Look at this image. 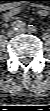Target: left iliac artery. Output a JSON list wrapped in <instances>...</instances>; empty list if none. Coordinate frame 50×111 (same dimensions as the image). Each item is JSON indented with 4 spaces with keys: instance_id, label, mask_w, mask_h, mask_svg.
I'll use <instances>...</instances> for the list:
<instances>
[{
    "instance_id": "1",
    "label": "left iliac artery",
    "mask_w": 50,
    "mask_h": 111,
    "mask_svg": "<svg viewBox=\"0 0 50 111\" xmlns=\"http://www.w3.org/2000/svg\"><path fill=\"white\" fill-rule=\"evenodd\" d=\"M28 31L31 32V33H35L36 32V27L33 26V25H29L28 26Z\"/></svg>"
}]
</instances>
